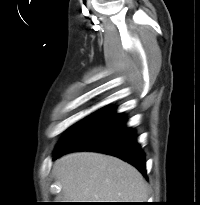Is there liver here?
<instances>
[{
    "label": "liver",
    "instance_id": "obj_1",
    "mask_svg": "<svg viewBox=\"0 0 200 205\" xmlns=\"http://www.w3.org/2000/svg\"><path fill=\"white\" fill-rule=\"evenodd\" d=\"M65 200L73 202H145L147 186L140 172L113 156L75 152L53 166Z\"/></svg>",
    "mask_w": 200,
    "mask_h": 205
}]
</instances>
